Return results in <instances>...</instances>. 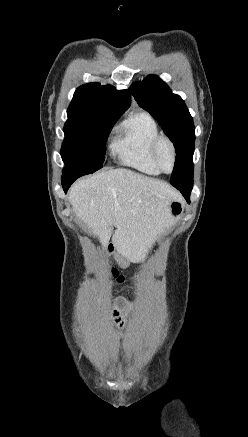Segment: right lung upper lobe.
Instances as JSON below:
<instances>
[{
  "mask_svg": "<svg viewBox=\"0 0 248 437\" xmlns=\"http://www.w3.org/2000/svg\"><path fill=\"white\" fill-rule=\"evenodd\" d=\"M130 103L128 90L117 91L111 85L88 83L76 89L67 114L89 119L120 117Z\"/></svg>",
  "mask_w": 248,
  "mask_h": 437,
  "instance_id": "cb5924a9",
  "label": "right lung upper lobe"
}]
</instances>
